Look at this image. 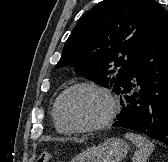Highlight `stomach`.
Here are the masks:
<instances>
[{
    "mask_svg": "<svg viewBox=\"0 0 168 162\" xmlns=\"http://www.w3.org/2000/svg\"><path fill=\"white\" fill-rule=\"evenodd\" d=\"M127 143L119 138H110L101 145L91 147L71 162H120L128 153Z\"/></svg>",
    "mask_w": 168,
    "mask_h": 162,
    "instance_id": "stomach-1",
    "label": "stomach"
}]
</instances>
